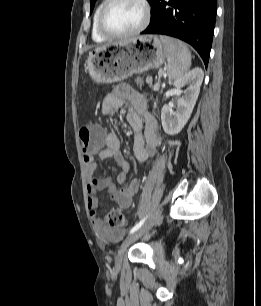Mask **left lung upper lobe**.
<instances>
[{"instance_id": "1", "label": "left lung upper lobe", "mask_w": 261, "mask_h": 306, "mask_svg": "<svg viewBox=\"0 0 261 306\" xmlns=\"http://www.w3.org/2000/svg\"><path fill=\"white\" fill-rule=\"evenodd\" d=\"M152 1L153 0H148L149 3H151ZM95 2H96V0H90V3H91V12H92V10L94 8Z\"/></svg>"}]
</instances>
